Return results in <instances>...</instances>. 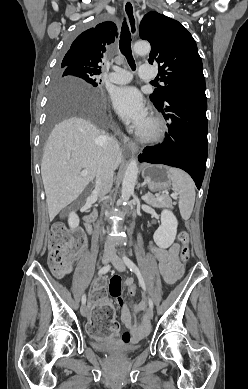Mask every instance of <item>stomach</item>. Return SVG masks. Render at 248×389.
Wrapping results in <instances>:
<instances>
[{
	"instance_id": "1",
	"label": "stomach",
	"mask_w": 248,
	"mask_h": 389,
	"mask_svg": "<svg viewBox=\"0 0 248 389\" xmlns=\"http://www.w3.org/2000/svg\"><path fill=\"white\" fill-rule=\"evenodd\" d=\"M142 176L151 191H162L171 185L169 167L165 165L145 164L142 168Z\"/></svg>"
}]
</instances>
